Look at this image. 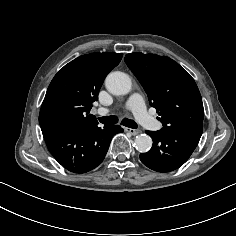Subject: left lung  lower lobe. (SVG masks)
Returning <instances> with one entry per match:
<instances>
[{
	"label": "left lung lower lobe",
	"mask_w": 236,
	"mask_h": 236,
	"mask_svg": "<svg viewBox=\"0 0 236 236\" xmlns=\"http://www.w3.org/2000/svg\"><path fill=\"white\" fill-rule=\"evenodd\" d=\"M203 128L179 127L146 131L153 146L147 153L140 154V160L157 172H170L182 166L196 148Z\"/></svg>",
	"instance_id": "0a47b994"
}]
</instances>
